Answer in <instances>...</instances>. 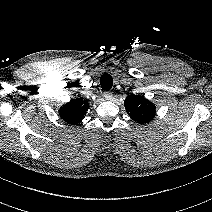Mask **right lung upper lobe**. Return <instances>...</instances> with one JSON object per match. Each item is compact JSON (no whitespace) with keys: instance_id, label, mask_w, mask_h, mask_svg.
<instances>
[{"instance_id":"1","label":"right lung upper lobe","mask_w":212,"mask_h":212,"mask_svg":"<svg viewBox=\"0 0 212 212\" xmlns=\"http://www.w3.org/2000/svg\"><path fill=\"white\" fill-rule=\"evenodd\" d=\"M89 109V103L87 100L82 98H77L66 103L60 108L59 113L61 118L68 124L78 125L86 112Z\"/></svg>"}]
</instances>
